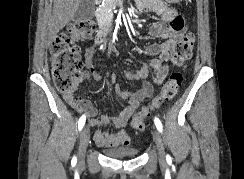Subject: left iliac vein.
<instances>
[{
    "label": "left iliac vein",
    "mask_w": 244,
    "mask_h": 179,
    "mask_svg": "<svg viewBox=\"0 0 244 179\" xmlns=\"http://www.w3.org/2000/svg\"><path fill=\"white\" fill-rule=\"evenodd\" d=\"M153 139L158 150V159L159 161H164L165 159L164 143L161 135L157 130H154L153 132Z\"/></svg>",
    "instance_id": "1"
}]
</instances>
